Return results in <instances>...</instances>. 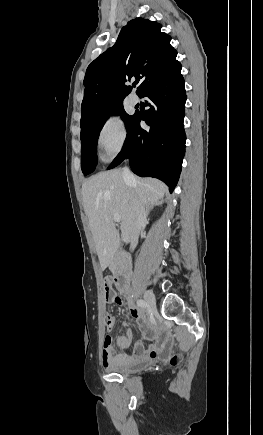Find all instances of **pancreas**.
<instances>
[{
  "label": "pancreas",
  "mask_w": 263,
  "mask_h": 435,
  "mask_svg": "<svg viewBox=\"0 0 263 435\" xmlns=\"http://www.w3.org/2000/svg\"><path fill=\"white\" fill-rule=\"evenodd\" d=\"M116 266H117V263H115L113 266H112V268L113 269H115L116 268Z\"/></svg>",
  "instance_id": "cf45deb5"
}]
</instances>
